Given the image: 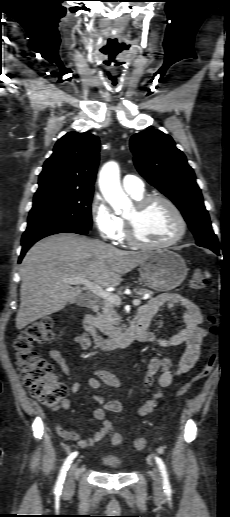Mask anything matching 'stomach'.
Segmentation results:
<instances>
[{"label": "stomach", "mask_w": 230, "mask_h": 517, "mask_svg": "<svg viewBox=\"0 0 230 517\" xmlns=\"http://www.w3.org/2000/svg\"><path fill=\"white\" fill-rule=\"evenodd\" d=\"M139 272L144 284L159 292H168L178 287L187 276L184 259L168 249L149 253L140 265Z\"/></svg>", "instance_id": "obj_1"}]
</instances>
